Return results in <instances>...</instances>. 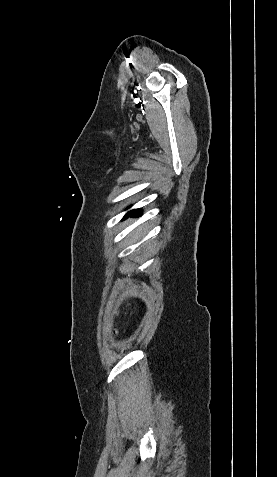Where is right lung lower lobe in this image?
Instances as JSON below:
<instances>
[{"instance_id": "98d812e1", "label": "right lung lower lobe", "mask_w": 277, "mask_h": 477, "mask_svg": "<svg viewBox=\"0 0 277 477\" xmlns=\"http://www.w3.org/2000/svg\"><path fill=\"white\" fill-rule=\"evenodd\" d=\"M140 213H141L140 209H136V210L130 211V212L127 214V216H129V215H131V216H136V215H138V214H140Z\"/></svg>"}]
</instances>
